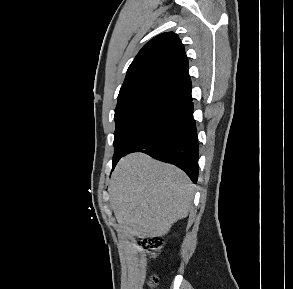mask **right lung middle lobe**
I'll return each instance as SVG.
<instances>
[{
    "label": "right lung middle lobe",
    "mask_w": 293,
    "mask_h": 289,
    "mask_svg": "<svg viewBox=\"0 0 293 289\" xmlns=\"http://www.w3.org/2000/svg\"><path fill=\"white\" fill-rule=\"evenodd\" d=\"M176 108L175 104L155 97H136L118 103L115 109L114 154Z\"/></svg>",
    "instance_id": "right-lung-middle-lobe-1"
}]
</instances>
